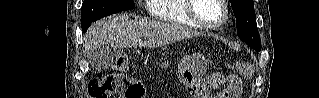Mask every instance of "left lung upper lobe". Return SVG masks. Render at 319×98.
Returning a JSON list of instances; mask_svg holds the SVG:
<instances>
[{
    "label": "left lung upper lobe",
    "instance_id": "5c2ea615",
    "mask_svg": "<svg viewBox=\"0 0 319 98\" xmlns=\"http://www.w3.org/2000/svg\"><path fill=\"white\" fill-rule=\"evenodd\" d=\"M236 17L237 35L241 40L261 50V40L257 30L253 0H229Z\"/></svg>",
    "mask_w": 319,
    "mask_h": 98
}]
</instances>
